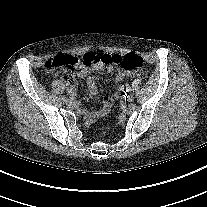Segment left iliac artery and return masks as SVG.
I'll return each mask as SVG.
<instances>
[{"instance_id":"44dca946","label":"left iliac artery","mask_w":207,"mask_h":207,"mask_svg":"<svg viewBox=\"0 0 207 207\" xmlns=\"http://www.w3.org/2000/svg\"><path fill=\"white\" fill-rule=\"evenodd\" d=\"M134 94H135V91H134L133 89H129V90L127 91V95H128L129 97H132Z\"/></svg>"}]
</instances>
